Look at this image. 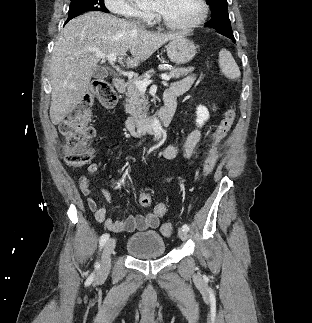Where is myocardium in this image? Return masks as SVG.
Returning <instances> with one entry per match:
<instances>
[{
	"instance_id": "1",
	"label": "myocardium",
	"mask_w": 312,
	"mask_h": 323,
	"mask_svg": "<svg viewBox=\"0 0 312 323\" xmlns=\"http://www.w3.org/2000/svg\"><path fill=\"white\" fill-rule=\"evenodd\" d=\"M201 6L198 18L193 19L194 25H201L206 21L212 11L211 4L208 0H197ZM155 17L160 25H169L172 31H192V20H168L165 12H156Z\"/></svg>"
}]
</instances>
